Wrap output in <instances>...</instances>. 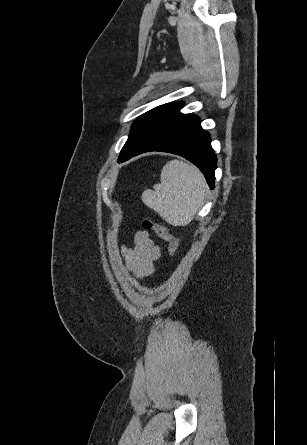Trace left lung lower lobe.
I'll return each instance as SVG.
<instances>
[{
	"mask_svg": "<svg viewBox=\"0 0 307 445\" xmlns=\"http://www.w3.org/2000/svg\"><path fill=\"white\" fill-rule=\"evenodd\" d=\"M210 142V135L201 128L200 119L195 115L186 114L148 138L124 161L149 151L177 154L195 164L213 189L217 159Z\"/></svg>",
	"mask_w": 307,
	"mask_h": 445,
	"instance_id": "obj_1",
	"label": "left lung lower lobe"
}]
</instances>
